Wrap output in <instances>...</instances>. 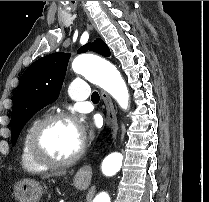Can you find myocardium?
I'll return each mask as SVG.
<instances>
[{"mask_svg": "<svg viewBox=\"0 0 209 202\" xmlns=\"http://www.w3.org/2000/svg\"><path fill=\"white\" fill-rule=\"evenodd\" d=\"M58 121H68L77 124V119L68 113H54L47 115L34 125L28 140V153L31 159L42 168H65L78 161L85 152V140L82 139L75 154L64 160H52L43 155L38 146V140L43 130L50 124Z\"/></svg>", "mask_w": 209, "mask_h": 202, "instance_id": "obj_1", "label": "myocardium"}]
</instances>
